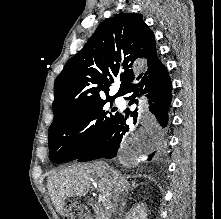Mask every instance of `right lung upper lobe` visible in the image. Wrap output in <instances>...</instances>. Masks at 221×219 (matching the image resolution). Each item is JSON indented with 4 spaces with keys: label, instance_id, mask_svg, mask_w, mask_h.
I'll list each match as a JSON object with an SVG mask.
<instances>
[{
    "label": "right lung upper lobe",
    "instance_id": "obj_1",
    "mask_svg": "<svg viewBox=\"0 0 221 219\" xmlns=\"http://www.w3.org/2000/svg\"><path fill=\"white\" fill-rule=\"evenodd\" d=\"M155 36L137 13L103 21L84 48L64 66L54 85V121L84 105L116 98L157 56ZM120 77V89L109 90ZM53 121V122H54Z\"/></svg>",
    "mask_w": 221,
    "mask_h": 219
}]
</instances>
